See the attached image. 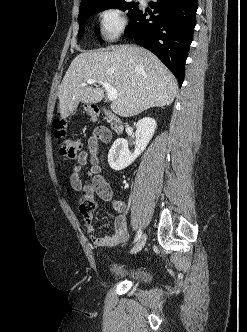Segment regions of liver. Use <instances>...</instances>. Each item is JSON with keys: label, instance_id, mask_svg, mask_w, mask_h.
Returning <instances> with one entry per match:
<instances>
[{"label": "liver", "instance_id": "liver-1", "mask_svg": "<svg viewBox=\"0 0 247 332\" xmlns=\"http://www.w3.org/2000/svg\"><path fill=\"white\" fill-rule=\"evenodd\" d=\"M89 79L107 82L118 91L111 110L121 117L169 106L178 88L174 75L142 47L127 44L83 52L73 59L58 88L61 119L67 118L80 102L92 104L103 99L104 90L99 85L81 86Z\"/></svg>", "mask_w": 247, "mask_h": 332}]
</instances>
